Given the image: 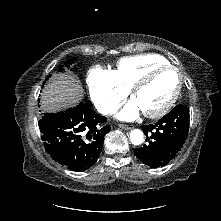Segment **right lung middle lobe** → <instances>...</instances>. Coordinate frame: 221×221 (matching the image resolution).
Instances as JSON below:
<instances>
[{
  "mask_svg": "<svg viewBox=\"0 0 221 221\" xmlns=\"http://www.w3.org/2000/svg\"><path fill=\"white\" fill-rule=\"evenodd\" d=\"M74 60H75V58L70 59V60L67 62L66 66L69 68V65L72 64ZM63 69H64V68L61 66V67L58 69V71H59V72H62ZM50 76H51V75H49V76L46 78V80H47ZM46 80L44 81L43 84L46 83ZM87 103H90V102L87 101Z\"/></svg>",
  "mask_w": 221,
  "mask_h": 221,
  "instance_id": "obj_1",
  "label": "right lung middle lobe"
}]
</instances>
